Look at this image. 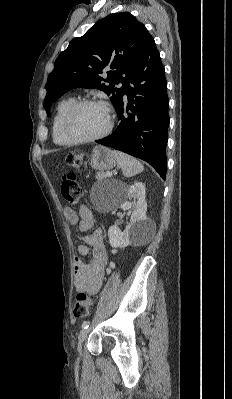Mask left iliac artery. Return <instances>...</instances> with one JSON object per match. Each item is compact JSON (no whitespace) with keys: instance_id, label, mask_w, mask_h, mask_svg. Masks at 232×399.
<instances>
[{"instance_id":"left-iliac-artery-1","label":"left iliac artery","mask_w":232,"mask_h":399,"mask_svg":"<svg viewBox=\"0 0 232 399\" xmlns=\"http://www.w3.org/2000/svg\"><path fill=\"white\" fill-rule=\"evenodd\" d=\"M89 325H90V322H89V321H84V322L82 323V328H83V329H87V328L89 327Z\"/></svg>"}]
</instances>
